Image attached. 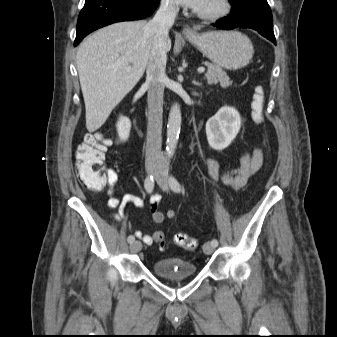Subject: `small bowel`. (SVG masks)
I'll return each instance as SVG.
<instances>
[{
    "mask_svg": "<svg viewBox=\"0 0 337 337\" xmlns=\"http://www.w3.org/2000/svg\"><path fill=\"white\" fill-rule=\"evenodd\" d=\"M263 154L260 148H254L251 152H245L240 157V165L237 168L227 169L221 171L218 161L214 158H205L204 164L208 169V177L211 182L216 183L221 181L224 187L230 191L241 190L250 179L262 166ZM107 173V194L109 199L107 205L111 209H115L116 213L114 218L118 222H126V207L129 203L134 204L136 207L142 208L144 202L141 198L133 194H125L121 198L115 196V187L118 182V174L112 169L108 168ZM162 195L156 192L150 201L149 215L152 222L160 224L167 219H174L176 213L174 210H168L166 213L159 211L158 205L161 201ZM135 236L143 241L146 245H151L154 243V234H145L140 230L135 232Z\"/></svg>",
    "mask_w": 337,
    "mask_h": 337,
    "instance_id": "obj_1",
    "label": "small bowel"
}]
</instances>
